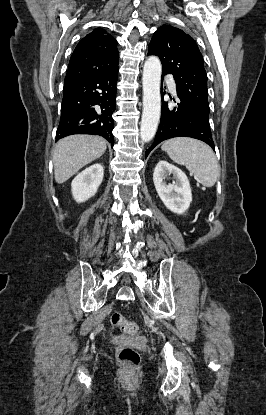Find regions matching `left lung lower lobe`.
<instances>
[{
  "instance_id": "left-lung-lower-lobe-1",
  "label": "left lung lower lobe",
  "mask_w": 266,
  "mask_h": 415,
  "mask_svg": "<svg viewBox=\"0 0 266 415\" xmlns=\"http://www.w3.org/2000/svg\"><path fill=\"white\" fill-rule=\"evenodd\" d=\"M164 74L162 75L163 79ZM163 95V89L161 90ZM177 107L162 103L161 121L153 144L146 150L145 158L160 142L174 137H192L204 141L215 150L209 119L199 114L188 102L180 98Z\"/></svg>"
}]
</instances>
